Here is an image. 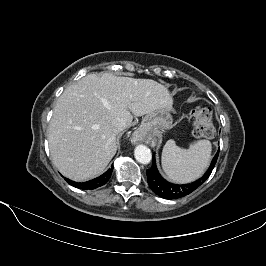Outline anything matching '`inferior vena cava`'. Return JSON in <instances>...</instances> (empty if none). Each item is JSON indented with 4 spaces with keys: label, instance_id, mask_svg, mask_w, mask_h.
Segmentation results:
<instances>
[{
    "label": "inferior vena cava",
    "instance_id": "1",
    "mask_svg": "<svg viewBox=\"0 0 266 266\" xmlns=\"http://www.w3.org/2000/svg\"><path fill=\"white\" fill-rule=\"evenodd\" d=\"M126 122L122 118H116L112 121V129L114 133L118 134L126 128Z\"/></svg>",
    "mask_w": 266,
    "mask_h": 266
}]
</instances>
